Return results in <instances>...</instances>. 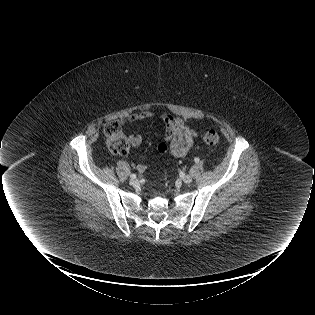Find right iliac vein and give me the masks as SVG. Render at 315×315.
I'll list each match as a JSON object with an SVG mask.
<instances>
[{
	"label": "right iliac vein",
	"mask_w": 315,
	"mask_h": 315,
	"mask_svg": "<svg viewBox=\"0 0 315 315\" xmlns=\"http://www.w3.org/2000/svg\"><path fill=\"white\" fill-rule=\"evenodd\" d=\"M129 183L131 186H137L139 184V180L138 179H131Z\"/></svg>",
	"instance_id": "right-iliac-vein-1"
}]
</instances>
